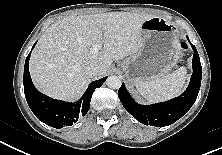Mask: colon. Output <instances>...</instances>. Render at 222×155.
I'll list each match as a JSON object with an SVG mask.
<instances>
[{
	"label": "colon",
	"mask_w": 222,
	"mask_h": 155,
	"mask_svg": "<svg viewBox=\"0 0 222 155\" xmlns=\"http://www.w3.org/2000/svg\"><path fill=\"white\" fill-rule=\"evenodd\" d=\"M180 47H181V49H183V50L186 49V45H185L183 42L180 43Z\"/></svg>",
	"instance_id": "1"
}]
</instances>
